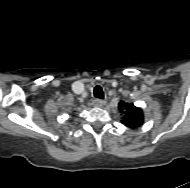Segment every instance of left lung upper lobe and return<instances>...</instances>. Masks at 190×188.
Masks as SVG:
<instances>
[{
    "label": "left lung upper lobe",
    "instance_id": "5c2ea615",
    "mask_svg": "<svg viewBox=\"0 0 190 188\" xmlns=\"http://www.w3.org/2000/svg\"><path fill=\"white\" fill-rule=\"evenodd\" d=\"M119 110L124 114L123 124L129 128H138L144 122V116L142 109L134 106V104H128L124 101L119 103Z\"/></svg>",
    "mask_w": 190,
    "mask_h": 188
}]
</instances>
